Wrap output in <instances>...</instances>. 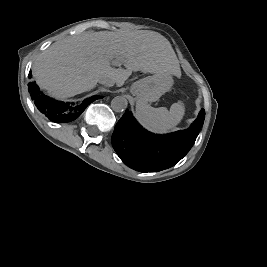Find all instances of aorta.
Masks as SVG:
<instances>
[{"label": "aorta", "instance_id": "762f6f07", "mask_svg": "<svg viewBox=\"0 0 267 267\" xmlns=\"http://www.w3.org/2000/svg\"><path fill=\"white\" fill-rule=\"evenodd\" d=\"M128 106V101L124 96H116L111 101V108L115 112H122Z\"/></svg>", "mask_w": 267, "mask_h": 267}]
</instances>
